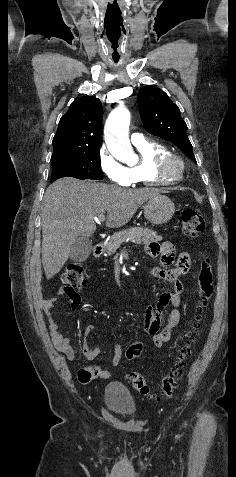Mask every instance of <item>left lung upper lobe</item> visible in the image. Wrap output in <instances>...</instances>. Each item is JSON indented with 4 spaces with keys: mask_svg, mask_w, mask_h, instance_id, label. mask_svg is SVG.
<instances>
[{
    "mask_svg": "<svg viewBox=\"0 0 236 477\" xmlns=\"http://www.w3.org/2000/svg\"><path fill=\"white\" fill-rule=\"evenodd\" d=\"M138 108L144 127L178 146L191 160L196 162L192 145L187 136V125L180 110L161 89L147 85L138 93Z\"/></svg>",
    "mask_w": 236,
    "mask_h": 477,
    "instance_id": "left-lung-upper-lobe-1",
    "label": "left lung upper lobe"
}]
</instances>
